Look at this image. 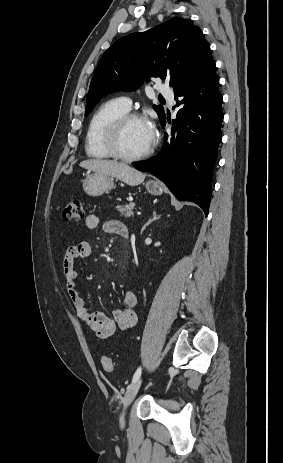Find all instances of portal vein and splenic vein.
<instances>
[{
    "label": "portal vein and splenic vein",
    "instance_id": "1",
    "mask_svg": "<svg viewBox=\"0 0 283 463\" xmlns=\"http://www.w3.org/2000/svg\"><path fill=\"white\" fill-rule=\"evenodd\" d=\"M137 214H138V215H141V212H138Z\"/></svg>",
    "mask_w": 283,
    "mask_h": 463
}]
</instances>
